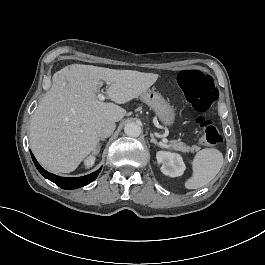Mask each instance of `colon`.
I'll return each mask as SVG.
<instances>
[{
	"label": "colon",
	"instance_id": "obj_1",
	"mask_svg": "<svg viewBox=\"0 0 265 265\" xmlns=\"http://www.w3.org/2000/svg\"><path fill=\"white\" fill-rule=\"evenodd\" d=\"M181 86L195 112V123L202 131V142L212 147L220 146L222 144L220 130L211 118L205 116L219 96L213 81L207 72L194 68L185 73Z\"/></svg>",
	"mask_w": 265,
	"mask_h": 265
}]
</instances>
